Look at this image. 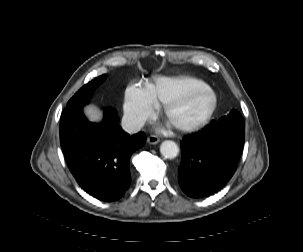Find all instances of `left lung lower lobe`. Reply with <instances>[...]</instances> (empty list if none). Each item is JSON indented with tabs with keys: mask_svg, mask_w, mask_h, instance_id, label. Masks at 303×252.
Masks as SVG:
<instances>
[{
	"mask_svg": "<svg viewBox=\"0 0 303 252\" xmlns=\"http://www.w3.org/2000/svg\"><path fill=\"white\" fill-rule=\"evenodd\" d=\"M245 140V129L202 130L181 142L178 182L190 197L212 195L234 174Z\"/></svg>",
	"mask_w": 303,
	"mask_h": 252,
	"instance_id": "1",
	"label": "left lung lower lobe"
}]
</instances>
